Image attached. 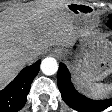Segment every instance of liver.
Returning a JSON list of instances; mask_svg holds the SVG:
<instances>
[{"label":"liver","mask_w":112,"mask_h":112,"mask_svg":"<svg viewBox=\"0 0 112 112\" xmlns=\"http://www.w3.org/2000/svg\"><path fill=\"white\" fill-rule=\"evenodd\" d=\"M71 17L63 3L26 4L11 21H0V88L25 66L23 54L38 56L50 46L70 45L65 31Z\"/></svg>","instance_id":"liver-1"}]
</instances>
